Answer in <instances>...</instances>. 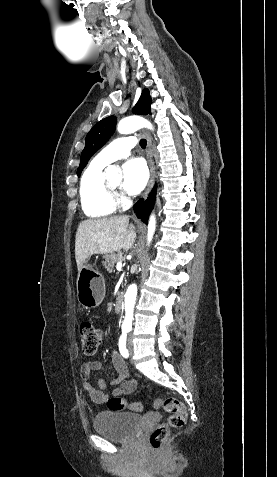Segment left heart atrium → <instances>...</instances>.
Returning a JSON list of instances; mask_svg holds the SVG:
<instances>
[{
    "mask_svg": "<svg viewBox=\"0 0 277 477\" xmlns=\"http://www.w3.org/2000/svg\"><path fill=\"white\" fill-rule=\"evenodd\" d=\"M149 173L142 159H131L123 165V189L132 195L140 193L146 186Z\"/></svg>",
    "mask_w": 277,
    "mask_h": 477,
    "instance_id": "39dd6f15",
    "label": "left heart atrium"
}]
</instances>
